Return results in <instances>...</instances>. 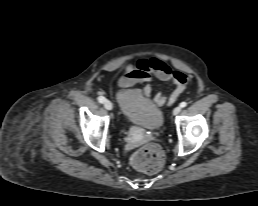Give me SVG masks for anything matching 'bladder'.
I'll use <instances>...</instances> for the list:
<instances>
[{"label":"bladder","instance_id":"bladder-1","mask_svg":"<svg viewBox=\"0 0 258 206\" xmlns=\"http://www.w3.org/2000/svg\"><path fill=\"white\" fill-rule=\"evenodd\" d=\"M122 115L131 123L147 130H158L164 122L162 109L138 89L117 94Z\"/></svg>","mask_w":258,"mask_h":206}]
</instances>
